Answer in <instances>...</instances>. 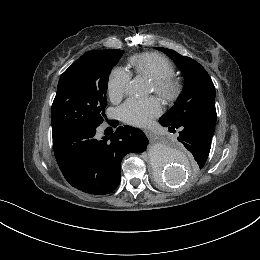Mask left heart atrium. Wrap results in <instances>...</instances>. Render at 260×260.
I'll list each match as a JSON object with an SVG mask.
<instances>
[{
	"label": "left heart atrium",
	"mask_w": 260,
	"mask_h": 260,
	"mask_svg": "<svg viewBox=\"0 0 260 260\" xmlns=\"http://www.w3.org/2000/svg\"><path fill=\"white\" fill-rule=\"evenodd\" d=\"M161 105L154 97L130 98L119 109L121 120L126 123L143 126L158 115Z\"/></svg>",
	"instance_id": "left-heart-atrium-1"
}]
</instances>
